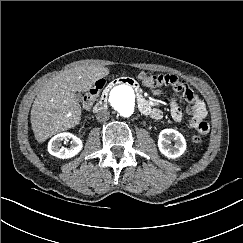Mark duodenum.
<instances>
[{"label": "duodenum", "mask_w": 243, "mask_h": 243, "mask_svg": "<svg viewBox=\"0 0 243 243\" xmlns=\"http://www.w3.org/2000/svg\"><path fill=\"white\" fill-rule=\"evenodd\" d=\"M119 83H125L128 84L130 86H132L133 88H135V85L133 83V81L129 80V79H120L115 81L112 85L114 84H119ZM108 90L107 89L103 95L101 96L100 100L96 103L95 107H94V111L95 112H99L103 109H105L107 107L108 104ZM136 99H137V103H138V107L140 109V111L145 114V115H152L154 110L152 109V107L150 106V104L148 103V101L139 93H136Z\"/></svg>", "instance_id": "1"}]
</instances>
